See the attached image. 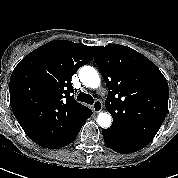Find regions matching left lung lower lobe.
<instances>
[{"label":"left lung lower lobe","instance_id":"obj_1","mask_svg":"<svg viewBox=\"0 0 178 178\" xmlns=\"http://www.w3.org/2000/svg\"><path fill=\"white\" fill-rule=\"evenodd\" d=\"M102 134L107 146L118 153L136 152L147 145L127 138L110 128L104 129Z\"/></svg>","mask_w":178,"mask_h":178}]
</instances>
